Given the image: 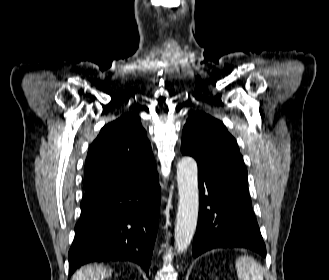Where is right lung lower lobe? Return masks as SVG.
<instances>
[{"label":"right lung lower lobe","instance_id":"right-lung-lower-lobe-1","mask_svg":"<svg viewBox=\"0 0 329 280\" xmlns=\"http://www.w3.org/2000/svg\"><path fill=\"white\" fill-rule=\"evenodd\" d=\"M160 206L157 171L131 179L113 178L86 189L69 250V277L93 261L128 260L147 275Z\"/></svg>","mask_w":329,"mask_h":280}]
</instances>
